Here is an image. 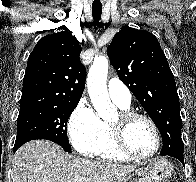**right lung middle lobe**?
I'll return each instance as SVG.
<instances>
[{
	"instance_id": "right-lung-middle-lobe-1",
	"label": "right lung middle lobe",
	"mask_w": 196,
	"mask_h": 182,
	"mask_svg": "<svg viewBox=\"0 0 196 182\" xmlns=\"http://www.w3.org/2000/svg\"><path fill=\"white\" fill-rule=\"evenodd\" d=\"M77 104L78 102L38 103L21 107L14 150L30 140L46 139L70 152L66 126Z\"/></svg>"
}]
</instances>
